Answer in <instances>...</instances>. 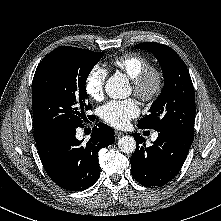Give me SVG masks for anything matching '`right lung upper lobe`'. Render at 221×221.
Instances as JSON below:
<instances>
[{
  "label": "right lung upper lobe",
  "mask_w": 221,
  "mask_h": 221,
  "mask_svg": "<svg viewBox=\"0 0 221 221\" xmlns=\"http://www.w3.org/2000/svg\"><path fill=\"white\" fill-rule=\"evenodd\" d=\"M43 135H39V134H35L34 135V137H35V139H38V138H40V137H42Z\"/></svg>",
  "instance_id": "obj_1"
}]
</instances>
